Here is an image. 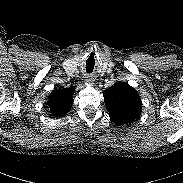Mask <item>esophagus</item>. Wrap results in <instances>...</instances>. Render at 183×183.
Returning <instances> with one entry per match:
<instances>
[{
    "mask_svg": "<svg viewBox=\"0 0 183 183\" xmlns=\"http://www.w3.org/2000/svg\"><path fill=\"white\" fill-rule=\"evenodd\" d=\"M86 82L87 83H89V84H93V82H94V77L93 76H91V75H88V76H86Z\"/></svg>",
    "mask_w": 183,
    "mask_h": 183,
    "instance_id": "obj_1",
    "label": "esophagus"
}]
</instances>
